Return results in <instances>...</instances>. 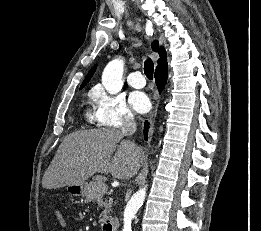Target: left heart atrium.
Masks as SVG:
<instances>
[{
    "mask_svg": "<svg viewBox=\"0 0 261 231\" xmlns=\"http://www.w3.org/2000/svg\"><path fill=\"white\" fill-rule=\"evenodd\" d=\"M129 102L132 108L138 113H146L150 108L148 96L141 91H134L130 94Z\"/></svg>",
    "mask_w": 261,
    "mask_h": 231,
    "instance_id": "left-heart-atrium-1",
    "label": "left heart atrium"
}]
</instances>
